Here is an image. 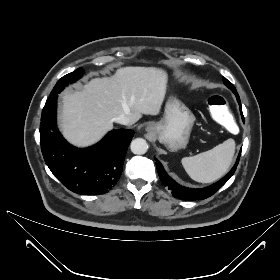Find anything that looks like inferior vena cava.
<instances>
[{
    "mask_svg": "<svg viewBox=\"0 0 280 280\" xmlns=\"http://www.w3.org/2000/svg\"><path fill=\"white\" fill-rule=\"evenodd\" d=\"M113 120H114V122L120 123L123 125H129L131 123L130 119L125 114H121V115L115 117Z\"/></svg>",
    "mask_w": 280,
    "mask_h": 280,
    "instance_id": "obj_1",
    "label": "inferior vena cava"
}]
</instances>
